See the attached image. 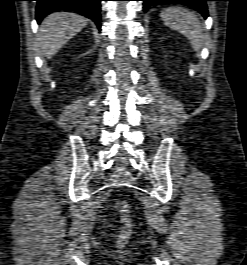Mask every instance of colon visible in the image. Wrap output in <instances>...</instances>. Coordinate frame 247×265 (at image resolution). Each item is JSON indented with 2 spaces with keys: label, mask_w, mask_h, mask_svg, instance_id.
I'll list each match as a JSON object with an SVG mask.
<instances>
[{
  "label": "colon",
  "mask_w": 247,
  "mask_h": 265,
  "mask_svg": "<svg viewBox=\"0 0 247 265\" xmlns=\"http://www.w3.org/2000/svg\"><path fill=\"white\" fill-rule=\"evenodd\" d=\"M120 221L121 228L118 236L117 244L119 247H124L132 234V219L130 213V206L124 202L120 205Z\"/></svg>",
  "instance_id": "obj_1"
}]
</instances>
